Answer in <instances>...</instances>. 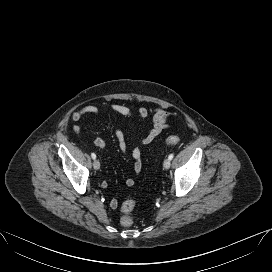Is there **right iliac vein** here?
Segmentation results:
<instances>
[{
    "label": "right iliac vein",
    "mask_w": 272,
    "mask_h": 272,
    "mask_svg": "<svg viewBox=\"0 0 272 272\" xmlns=\"http://www.w3.org/2000/svg\"><path fill=\"white\" fill-rule=\"evenodd\" d=\"M93 167H94L95 170L100 169V162H99V160H94Z\"/></svg>",
    "instance_id": "1"
}]
</instances>
